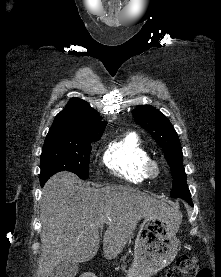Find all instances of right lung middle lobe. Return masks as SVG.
<instances>
[{"label":"right lung middle lobe","mask_w":221,"mask_h":277,"mask_svg":"<svg viewBox=\"0 0 221 277\" xmlns=\"http://www.w3.org/2000/svg\"><path fill=\"white\" fill-rule=\"evenodd\" d=\"M102 133H48L41 154L40 182L45 183L53 174L64 170L82 179L88 178L91 143L98 140Z\"/></svg>","instance_id":"dd1d6c3e"}]
</instances>
